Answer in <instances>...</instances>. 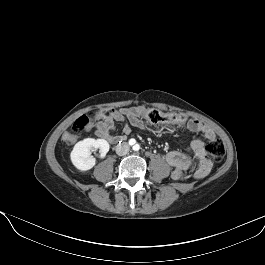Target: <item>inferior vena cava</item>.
Masks as SVG:
<instances>
[{
    "label": "inferior vena cava",
    "instance_id": "1",
    "mask_svg": "<svg viewBox=\"0 0 265 265\" xmlns=\"http://www.w3.org/2000/svg\"><path fill=\"white\" fill-rule=\"evenodd\" d=\"M129 144L126 142H122L117 144L116 146V154L119 156H124L129 152Z\"/></svg>",
    "mask_w": 265,
    "mask_h": 265
}]
</instances>
